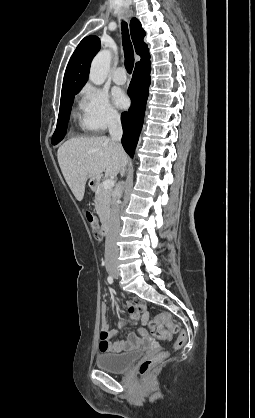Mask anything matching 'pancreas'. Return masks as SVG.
Masks as SVG:
<instances>
[{
    "instance_id": "obj_1",
    "label": "pancreas",
    "mask_w": 255,
    "mask_h": 418,
    "mask_svg": "<svg viewBox=\"0 0 255 418\" xmlns=\"http://www.w3.org/2000/svg\"><path fill=\"white\" fill-rule=\"evenodd\" d=\"M111 195V190L105 189L103 184H99L95 191V208L100 220H104L109 216Z\"/></svg>"
}]
</instances>
